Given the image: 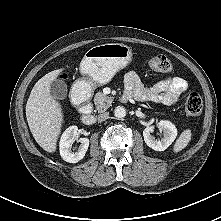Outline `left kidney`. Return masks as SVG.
Returning <instances> with one entry per match:
<instances>
[{"label": "left kidney", "mask_w": 221, "mask_h": 221, "mask_svg": "<svg viewBox=\"0 0 221 221\" xmlns=\"http://www.w3.org/2000/svg\"><path fill=\"white\" fill-rule=\"evenodd\" d=\"M158 128L163 131V137L161 140H157L151 133L154 130L153 126L146 127L143 131L144 141L155 151H164L167 149L176 139L177 129L170 121L162 120L158 123Z\"/></svg>", "instance_id": "5707ae66"}]
</instances>
